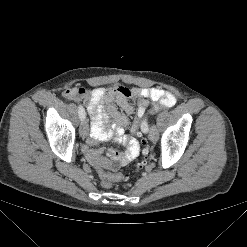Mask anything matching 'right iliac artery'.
<instances>
[{"instance_id": "1", "label": "right iliac artery", "mask_w": 247, "mask_h": 247, "mask_svg": "<svg viewBox=\"0 0 247 247\" xmlns=\"http://www.w3.org/2000/svg\"><path fill=\"white\" fill-rule=\"evenodd\" d=\"M78 114H79V118L81 120H83L85 118V110H84L82 105L78 106Z\"/></svg>"}]
</instances>
